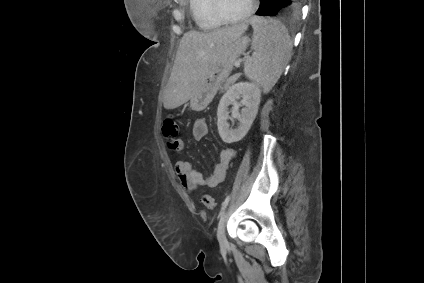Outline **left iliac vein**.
<instances>
[{
    "instance_id": "4c4485c4",
    "label": "left iliac vein",
    "mask_w": 424,
    "mask_h": 283,
    "mask_svg": "<svg viewBox=\"0 0 424 283\" xmlns=\"http://www.w3.org/2000/svg\"><path fill=\"white\" fill-rule=\"evenodd\" d=\"M227 219V213L226 211H223L220 216L219 224H218V230H217V239L219 241V244L222 248L228 247V240L226 238L225 234V223Z\"/></svg>"
}]
</instances>
